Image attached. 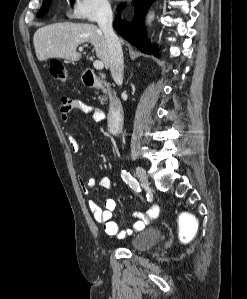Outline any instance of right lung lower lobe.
Wrapping results in <instances>:
<instances>
[{
    "instance_id": "obj_1",
    "label": "right lung lower lobe",
    "mask_w": 247,
    "mask_h": 299,
    "mask_svg": "<svg viewBox=\"0 0 247 299\" xmlns=\"http://www.w3.org/2000/svg\"><path fill=\"white\" fill-rule=\"evenodd\" d=\"M153 0H134L135 15L131 22L121 21L120 17H116L114 28L116 32L126 39L129 43L136 46L141 52L146 54H154L158 56L157 48L153 47L146 39V29L144 19L146 12ZM125 4H120L118 9H123Z\"/></svg>"
}]
</instances>
